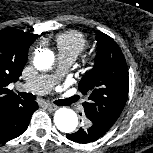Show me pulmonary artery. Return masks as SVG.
I'll return each instance as SVG.
<instances>
[{"mask_svg":"<svg viewBox=\"0 0 153 153\" xmlns=\"http://www.w3.org/2000/svg\"><path fill=\"white\" fill-rule=\"evenodd\" d=\"M73 59L67 57H58L59 71L54 75H38L35 78L26 81L23 84V88L35 94H46L49 92L57 81L60 79L62 72L68 69L72 63Z\"/></svg>","mask_w":153,"mask_h":153,"instance_id":"e3ab8cb5","label":"pulmonary artery"}]
</instances>
